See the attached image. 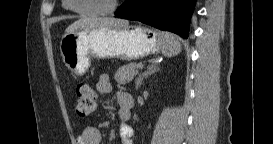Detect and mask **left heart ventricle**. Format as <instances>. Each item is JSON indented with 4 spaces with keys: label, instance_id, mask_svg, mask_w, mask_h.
<instances>
[{
    "label": "left heart ventricle",
    "instance_id": "b2bd125f",
    "mask_svg": "<svg viewBox=\"0 0 273 144\" xmlns=\"http://www.w3.org/2000/svg\"><path fill=\"white\" fill-rule=\"evenodd\" d=\"M113 0H75L76 8L81 10H101L110 5Z\"/></svg>",
    "mask_w": 273,
    "mask_h": 144
}]
</instances>
